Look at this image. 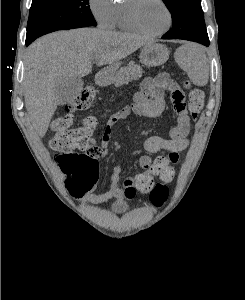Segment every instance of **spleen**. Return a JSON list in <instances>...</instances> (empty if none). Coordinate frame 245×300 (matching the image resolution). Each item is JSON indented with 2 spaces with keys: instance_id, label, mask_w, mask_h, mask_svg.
<instances>
[{
  "instance_id": "obj_1",
  "label": "spleen",
  "mask_w": 245,
  "mask_h": 300,
  "mask_svg": "<svg viewBox=\"0 0 245 300\" xmlns=\"http://www.w3.org/2000/svg\"><path fill=\"white\" fill-rule=\"evenodd\" d=\"M184 54L180 64L191 81L197 86L206 85L209 78V67L204 51L196 45H190L184 48Z\"/></svg>"
}]
</instances>
